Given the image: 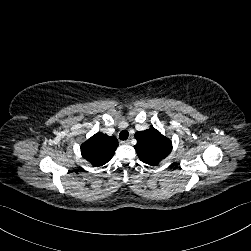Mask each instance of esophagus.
I'll use <instances>...</instances> for the list:
<instances>
[{"instance_id":"esophagus-1","label":"esophagus","mask_w":251,"mask_h":251,"mask_svg":"<svg viewBox=\"0 0 251 251\" xmlns=\"http://www.w3.org/2000/svg\"><path fill=\"white\" fill-rule=\"evenodd\" d=\"M123 145H128L130 143V140H124L120 142Z\"/></svg>"}]
</instances>
